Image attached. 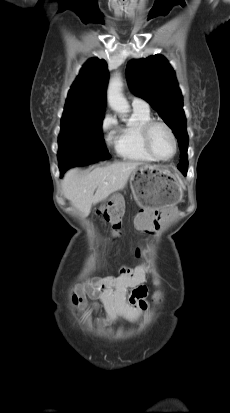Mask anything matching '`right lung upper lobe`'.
<instances>
[{
  "label": "right lung upper lobe",
  "mask_w": 230,
  "mask_h": 413,
  "mask_svg": "<svg viewBox=\"0 0 230 413\" xmlns=\"http://www.w3.org/2000/svg\"><path fill=\"white\" fill-rule=\"evenodd\" d=\"M108 79L107 63L104 60H88L69 90L61 122L104 117Z\"/></svg>",
  "instance_id": "cb5924a9"
}]
</instances>
